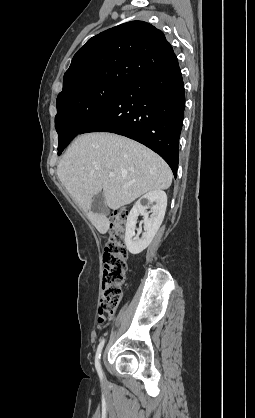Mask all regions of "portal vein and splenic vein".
<instances>
[{
	"label": "portal vein and splenic vein",
	"mask_w": 255,
	"mask_h": 418,
	"mask_svg": "<svg viewBox=\"0 0 255 418\" xmlns=\"http://www.w3.org/2000/svg\"><path fill=\"white\" fill-rule=\"evenodd\" d=\"M114 176V173L113 172H110L109 173V177H113Z\"/></svg>",
	"instance_id": "18ae733b"
}]
</instances>
